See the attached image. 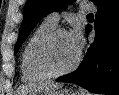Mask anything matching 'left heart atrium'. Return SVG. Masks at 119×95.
I'll list each match as a JSON object with an SVG mask.
<instances>
[{
    "mask_svg": "<svg viewBox=\"0 0 119 95\" xmlns=\"http://www.w3.org/2000/svg\"><path fill=\"white\" fill-rule=\"evenodd\" d=\"M70 38L73 41L74 45L79 48L81 41H82V36L79 28L73 29L70 33Z\"/></svg>",
    "mask_w": 119,
    "mask_h": 95,
    "instance_id": "left-heart-atrium-1",
    "label": "left heart atrium"
}]
</instances>
